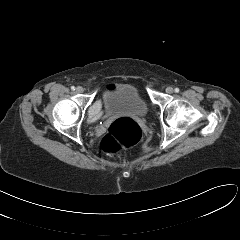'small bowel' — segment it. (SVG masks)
Wrapping results in <instances>:
<instances>
[{
    "instance_id": "obj_1",
    "label": "small bowel",
    "mask_w": 240,
    "mask_h": 240,
    "mask_svg": "<svg viewBox=\"0 0 240 240\" xmlns=\"http://www.w3.org/2000/svg\"><path fill=\"white\" fill-rule=\"evenodd\" d=\"M111 86H113V85H110V87H111ZM99 112H100V103H99V102H96V103L93 105L92 109H91V116H92L93 118H96V117H98Z\"/></svg>"
}]
</instances>
